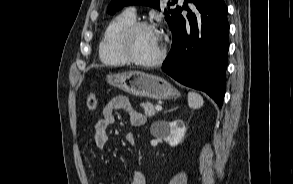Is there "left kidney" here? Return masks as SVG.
I'll list each match as a JSON object with an SVG mask.
<instances>
[{
    "label": "left kidney",
    "mask_w": 293,
    "mask_h": 184,
    "mask_svg": "<svg viewBox=\"0 0 293 184\" xmlns=\"http://www.w3.org/2000/svg\"><path fill=\"white\" fill-rule=\"evenodd\" d=\"M186 133V127L182 120L166 122L162 132L163 139L172 147L181 143Z\"/></svg>",
    "instance_id": "left-kidney-1"
}]
</instances>
